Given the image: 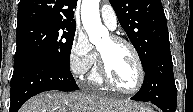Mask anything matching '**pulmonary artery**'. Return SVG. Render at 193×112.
<instances>
[{"label":"pulmonary artery","mask_w":193,"mask_h":112,"mask_svg":"<svg viewBox=\"0 0 193 112\" xmlns=\"http://www.w3.org/2000/svg\"><path fill=\"white\" fill-rule=\"evenodd\" d=\"M101 19L103 23L110 29L115 30L117 27V16L113 8L105 4L102 6L100 11Z\"/></svg>","instance_id":"e3ab8cb5"}]
</instances>
